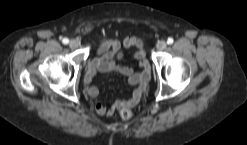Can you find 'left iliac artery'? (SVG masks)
Here are the masks:
<instances>
[{"mask_svg": "<svg viewBox=\"0 0 247 145\" xmlns=\"http://www.w3.org/2000/svg\"><path fill=\"white\" fill-rule=\"evenodd\" d=\"M173 42H174L173 38H168L167 44L171 45V44H173Z\"/></svg>", "mask_w": 247, "mask_h": 145, "instance_id": "44dca946", "label": "left iliac artery"}]
</instances>
